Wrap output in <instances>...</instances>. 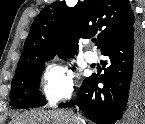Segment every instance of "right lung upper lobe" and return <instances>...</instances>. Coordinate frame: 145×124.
Segmentation results:
<instances>
[{"label": "right lung upper lobe", "instance_id": "right-lung-upper-lobe-1", "mask_svg": "<svg viewBox=\"0 0 145 124\" xmlns=\"http://www.w3.org/2000/svg\"><path fill=\"white\" fill-rule=\"evenodd\" d=\"M134 25L128 0H85L71 8L65 1L54 2L42 9L31 25L15 75L56 54L61 58L72 57L78 41L91 38L98 31L96 45L101 49Z\"/></svg>", "mask_w": 145, "mask_h": 124}]
</instances>
